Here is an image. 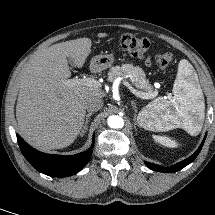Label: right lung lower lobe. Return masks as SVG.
<instances>
[{
    "mask_svg": "<svg viewBox=\"0 0 215 215\" xmlns=\"http://www.w3.org/2000/svg\"><path fill=\"white\" fill-rule=\"evenodd\" d=\"M19 147L28 162L39 172L51 177H68L80 171L89 161L92 155V146L75 155H52L37 151L28 145L18 134Z\"/></svg>",
    "mask_w": 215,
    "mask_h": 215,
    "instance_id": "98d812e1",
    "label": "right lung lower lobe"
}]
</instances>
